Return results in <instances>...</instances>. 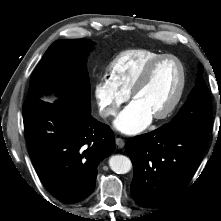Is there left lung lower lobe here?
I'll list each match as a JSON object with an SVG mask.
<instances>
[{"label": "left lung lower lobe", "mask_w": 221, "mask_h": 221, "mask_svg": "<svg viewBox=\"0 0 221 221\" xmlns=\"http://www.w3.org/2000/svg\"><path fill=\"white\" fill-rule=\"evenodd\" d=\"M209 133L162 126L131 138L126 152L134 167L133 199L141 206L160 207L181 195L207 149Z\"/></svg>", "instance_id": "obj_1"}]
</instances>
